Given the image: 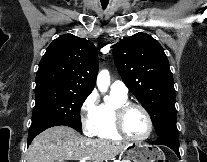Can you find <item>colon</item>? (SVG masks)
<instances>
[{"label":"colon","instance_id":"5ec220e1","mask_svg":"<svg viewBox=\"0 0 207 162\" xmlns=\"http://www.w3.org/2000/svg\"><path fill=\"white\" fill-rule=\"evenodd\" d=\"M158 162H169L168 160H159Z\"/></svg>","mask_w":207,"mask_h":162}]
</instances>
